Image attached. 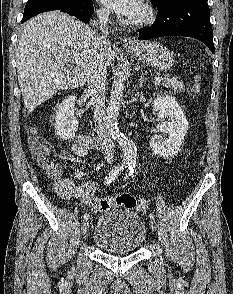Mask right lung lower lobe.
<instances>
[{"label":"right lung lower lobe","mask_w":233,"mask_h":294,"mask_svg":"<svg viewBox=\"0 0 233 294\" xmlns=\"http://www.w3.org/2000/svg\"><path fill=\"white\" fill-rule=\"evenodd\" d=\"M55 11L68 13L72 16H75L76 18L83 21L84 23H88V21L90 20L94 12V8H93L92 0H81L74 5H71L66 8L55 9Z\"/></svg>","instance_id":"98d812e1"}]
</instances>
